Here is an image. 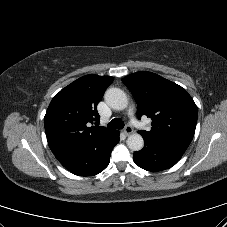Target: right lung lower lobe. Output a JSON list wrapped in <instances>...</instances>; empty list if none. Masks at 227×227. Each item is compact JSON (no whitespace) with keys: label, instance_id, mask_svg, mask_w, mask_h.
<instances>
[{"label":"right lung lower lobe","instance_id":"1","mask_svg":"<svg viewBox=\"0 0 227 227\" xmlns=\"http://www.w3.org/2000/svg\"><path fill=\"white\" fill-rule=\"evenodd\" d=\"M119 142V132L94 141L78 151L56 156L71 173L78 176H93L102 172L109 164L111 151Z\"/></svg>","mask_w":227,"mask_h":227}]
</instances>
